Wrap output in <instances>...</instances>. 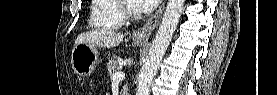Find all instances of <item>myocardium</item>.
Here are the masks:
<instances>
[{
    "label": "myocardium",
    "instance_id": "f54148a6",
    "mask_svg": "<svg viewBox=\"0 0 277 95\" xmlns=\"http://www.w3.org/2000/svg\"><path fill=\"white\" fill-rule=\"evenodd\" d=\"M134 0H119L117 3V11L119 15L127 21H134L140 18L144 11L140 9H133L132 4Z\"/></svg>",
    "mask_w": 277,
    "mask_h": 95
}]
</instances>
